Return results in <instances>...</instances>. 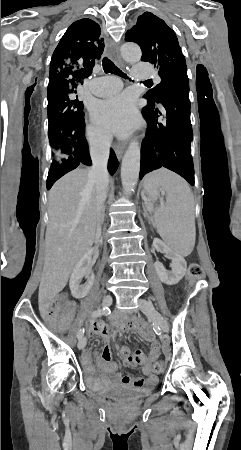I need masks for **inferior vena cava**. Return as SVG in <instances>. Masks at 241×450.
<instances>
[{
	"mask_svg": "<svg viewBox=\"0 0 241 450\" xmlns=\"http://www.w3.org/2000/svg\"><path fill=\"white\" fill-rule=\"evenodd\" d=\"M112 136H104L102 142L97 140L96 146L90 152L93 166L88 172V182L86 190H91L96 186V212H97V226H96V240L101 236V224L104 220V202L107 198V188L109 184V174L107 164L110 154V146L112 144Z\"/></svg>",
	"mask_w": 241,
	"mask_h": 450,
	"instance_id": "1",
	"label": "inferior vena cava"
}]
</instances>
